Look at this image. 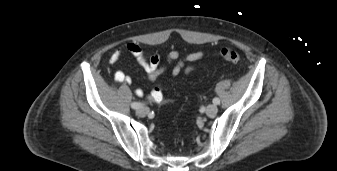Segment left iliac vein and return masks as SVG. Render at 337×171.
<instances>
[{
  "instance_id": "4c4485c4",
  "label": "left iliac vein",
  "mask_w": 337,
  "mask_h": 171,
  "mask_svg": "<svg viewBox=\"0 0 337 171\" xmlns=\"http://www.w3.org/2000/svg\"><path fill=\"white\" fill-rule=\"evenodd\" d=\"M217 111H218V108L214 104H210V105H208L206 107V114L208 116H214V115H216Z\"/></svg>"
}]
</instances>
